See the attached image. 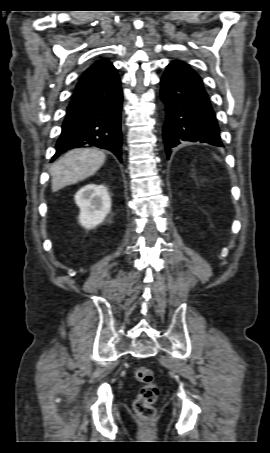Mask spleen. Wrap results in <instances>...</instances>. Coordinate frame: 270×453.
Here are the masks:
<instances>
[{"mask_svg": "<svg viewBox=\"0 0 270 453\" xmlns=\"http://www.w3.org/2000/svg\"><path fill=\"white\" fill-rule=\"evenodd\" d=\"M215 158H217L219 160V157L215 156Z\"/></svg>", "mask_w": 270, "mask_h": 453, "instance_id": "obj_1", "label": "spleen"}]
</instances>
